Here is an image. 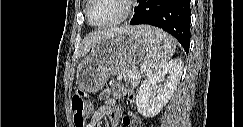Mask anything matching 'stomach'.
I'll use <instances>...</instances> for the list:
<instances>
[{
  "label": "stomach",
  "mask_w": 243,
  "mask_h": 127,
  "mask_svg": "<svg viewBox=\"0 0 243 127\" xmlns=\"http://www.w3.org/2000/svg\"><path fill=\"white\" fill-rule=\"evenodd\" d=\"M146 46L136 31L106 37L77 67V84L88 92L102 88L110 74H125L144 59Z\"/></svg>",
  "instance_id": "1"
}]
</instances>
